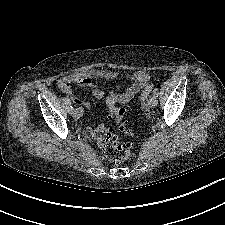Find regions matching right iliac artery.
<instances>
[{"instance_id":"right-iliac-artery-1","label":"right iliac artery","mask_w":225,"mask_h":225,"mask_svg":"<svg viewBox=\"0 0 225 225\" xmlns=\"http://www.w3.org/2000/svg\"><path fill=\"white\" fill-rule=\"evenodd\" d=\"M70 109H71V111H72V110H74V107H73V106H70Z\"/></svg>"}]
</instances>
